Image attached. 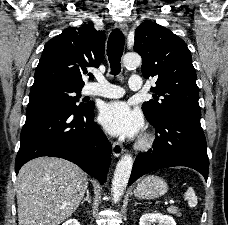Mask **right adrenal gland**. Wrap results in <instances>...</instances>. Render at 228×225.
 <instances>
[{
  "instance_id": "right-adrenal-gland-1",
  "label": "right adrenal gland",
  "mask_w": 228,
  "mask_h": 225,
  "mask_svg": "<svg viewBox=\"0 0 228 225\" xmlns=\"http://www.w3.org/2000/svg\"><path fill=\"white\" fill-rule=\"evenodd\" d=\"M85 201H88V203H90L89 189H87V191H86V197H85V199H83V201H81V205H83V203H85Z\"/></svg>"
}]
</instances>
